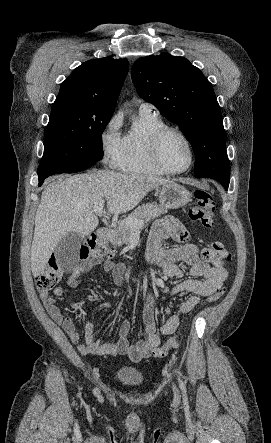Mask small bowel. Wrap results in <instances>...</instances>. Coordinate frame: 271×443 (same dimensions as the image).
<instances>
[{
	"mask_svg": "<svg viewBox=\"0 0 271 443\" xmlns=\"http://www.w3.org/2000/svg\"><path fill=\"white\" fill-rule=\"evenodd\" d=\"M174 239L181 245L164 248L163 241ZM198 246L190 242V235L181 222L172 217L166 216L158 220L148 239L146 258L153 264L162 267L163 273L168 278L180 279L184 276V271L180 264L188 267L189 278L174 286L170 294L189 293V296L180 304L179 313L188 314L199 303L201 297L212 295L219 289L227 278V272L223 268L209 266L198 254ZM91 263H84L74 270L67 280V285L77 287L80 276L91 268ZM103 271L112 275L114 281L119 286L126 283L127 268L124 264H115L107 260L103 263ZM63 287H57L54 295L62 296ZM42 303L50 317L63 327L70 340L77 345L78 350L83 354L95 355H124L132 361H140L149 356L160 344L161 335H171L179 326V314L171 313L166 309L168 317L157 332L154 318V298L149 297L143 310L144 336L132 342L130 340V324L125 321L120 329L119 338L113 342H103L95 339V326L93 321L84 324V341L81 340L76 331L72 319L63 313L57 301L49 292L40 293ZM109 303L101 305V308L109 307Z\"/></svg>",
	"mask_w": 271,
	"mask_h": 443,
	"instance_id": "c3829d8e",
	"label": "small bowel"
}]
</instances>
